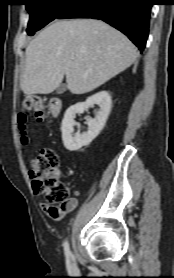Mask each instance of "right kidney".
I'll return each mask as SVG.
<instances>
[{
  "label": "right kidney",
  "instance_id": "1",
  "mask_svg": "<svg viewBox=\"0 0 174 278\" xmlns=\"http://www.w3.org/2000/svg\"><path fill=\"white\" fill-rule=\"evenodd\" d=\"M94 105H98L100 109L94 119H87L88 131L82 134L78 132L73 135L76 114L83 113L84 110ZM111 105L110 94L107 91H100L88 97L85 102L70 106L64 114L61 125L64 147L69 151H77L83 146L89 145L103 129L111 111Z\"/></svg>",
  "mask_w": 174,
  "mask_h": 278
}]
</instances>
